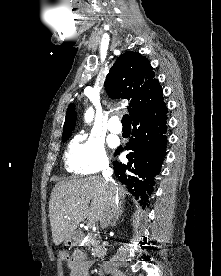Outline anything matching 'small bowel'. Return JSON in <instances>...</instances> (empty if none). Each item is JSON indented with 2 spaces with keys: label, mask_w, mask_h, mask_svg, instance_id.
Wrapping results in <instances>:
<instances>
[{
  "label": "small bowel",
  "mask_w": 221,
  "mask_h": 276,
  "mask_svg": "<svg viewBox=\"0 0 221 276\" xmlns=\"http://www.w3.org/2000/svg\"><path fill=\"white\" fill-rule=\"evenodd\" d=\"M93 261L88 260L81 250L72 253L70 260L67 262L69 276H88V271Z\"/></svg>",
  "instance_id": "small-bowel-1"
}]
</instances>
